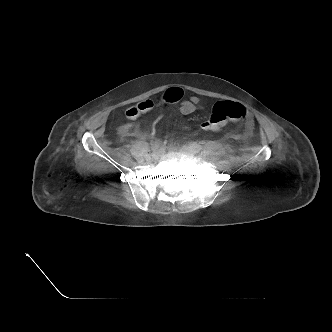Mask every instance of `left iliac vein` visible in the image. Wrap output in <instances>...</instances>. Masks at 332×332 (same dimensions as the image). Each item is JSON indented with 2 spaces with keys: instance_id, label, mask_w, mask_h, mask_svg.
<instances>
[{
  "instance_id": "1",
  "label": "left iliac vein",
  "mask_w": 332,
  "mask_h": 332,
  "mask_svg": "<svg viewBox=\"0 0 332 332\" xmlns=\"http://www.w3.org/2000/svg\"><path fill=\"white\" fill-rule=\"evenodd\" d=\"M181 150H182L184 153H186V154H188V155H190V156H193V155L195 154L194 151H193V149L191 148V146H190V145H187V144L183 145V146L181 147Z\"/></svg>"
}]
</instances>
